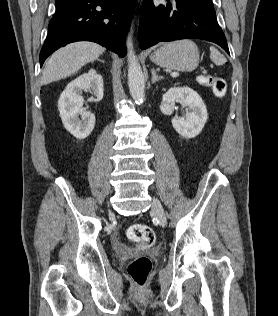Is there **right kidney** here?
<instances>
[{"instance_id": "1", "label": "right kidney", "mask_w": 278, "mask_h": 316, "mask_svg": "<svg viewBox=\"0 0 278 316\" xmlns=\"http://www.w3.org/2000/svg\"><path fill=\"white\" fill-rule=\"evenodd\" d=\"M92 91L95 101L103 98V78L94 69L71 81L62 92L58 109L63 125L77 139H85L95 126L94 114L82 108V91ZM81 115V120L78 116Z\"/></svg>"}]
</instances>
